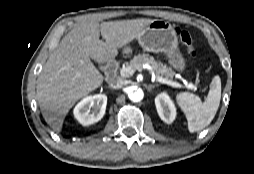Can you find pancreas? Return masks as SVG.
I'll use <instances>...</instances> for the list:
<instances>
[{
	"label": "pancreas",
	"instance_id": "pancreas-1",
	"mask_svg": "<svg viewBox=\"0 0 254 174\" xmlns=\"http://www.w3.org/2000/svg\"><path fill=\"white\" fill-rule=\"evenodd\" d=\"M144 64H149L152 67L156 77H163L171 80L175 75L174 71H172L167 65L156 61L154 57L146 53L134 56V58L130 60L129 63H126V66H130L134 70H141Z\"/></svg>",
	"mask_w": 254,
	"mask_h": 174
}]
</instances>
